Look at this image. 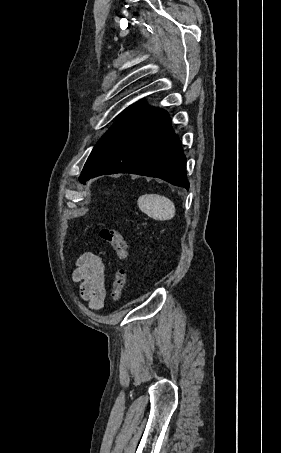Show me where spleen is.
<instances>
[{"label": "spleen", "instance_id": "spleen-1", "mask_svg": "<svg viewBox=\"0 0 281 453\" xmlns=\"http://www.w3.org/2000/svg\"><path fill=\"white\" fill-rule=\"evenodd\" d=\"M137 204L142 212H146L155 220H170L175 216L174 202L160 194H142L139 196Z\"/></svg>", "mask_w": 281, "mask_h": 453}]
</instances>
